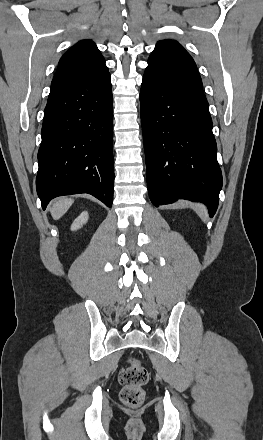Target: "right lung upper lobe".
<instances>
[{
    "label": "right lung upper lobe",
    "mask_w": 263,
    "mask_h": 440,
    "mask_svg": "<svg viewBox=\"0 0 263 440\" xmlns=\"http://www.w3.org/2000/svg\"><path fill=\"white\" fill-rule=\"evenodd\" d=\"M108 71L95 43L83 40L71 47L60 59L50 93L81 83Z\"/></svg>",
    "instance_id": "cb5924a9"
}]
</instances>
